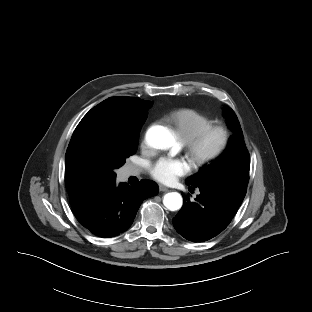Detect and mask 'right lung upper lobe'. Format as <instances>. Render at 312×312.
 Returning <instances> with one entry per match:
<instances>
[{
	"mask_svg": "<svg viewBox=\"0 0 312 312\" xmlns=\"http://www.w3.org/2000/svg\"><path fill=\"white\" fill-rule=\"evenodd\" d=\"M149 106V101L140 98L122 96L110 97L92 108L81 121L97 116H109L120 120H133L147 113L146 110ZM66 184L73 210L80 207L88 198L106 186L103 184L80 183L69 178L67 175Z\"/></svg>",
	"mask_w": 312,
	"mask_h": 312,
	"instance_id": "1",
	"label": "right lung upper lobe"
}]
</instances>
